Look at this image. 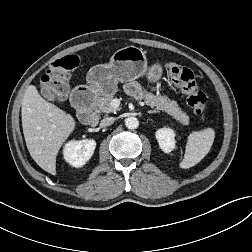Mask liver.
Listing matches in <instances>:
<instances>
[{"label":"liver","mask_w":252,"mask_h":252,"mask_svg":"<svg viewBox=\"0 0 252 252\" xmlns=\"http://www.w3.org/2000/svg\"><path fill=\"white\" fill-rule=\"evenodd\" d=\"M22 128L33 160L46 172L56 175V157L76 127L74 118L49 103L29 86L22 100Z\"/></svg>","instance_id":"6515ba94"}]
</instances>
